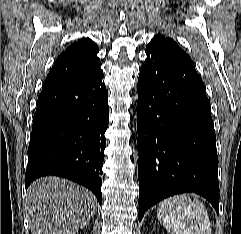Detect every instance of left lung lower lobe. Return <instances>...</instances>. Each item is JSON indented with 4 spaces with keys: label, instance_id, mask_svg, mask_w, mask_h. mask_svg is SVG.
Here are the masks:
<instances>
[{
    "label": "left lung lower lobe",
    "instance_id": "1",
    "mask_svg": "<svg viewBox=\"0 0 241 234\" xmlns=\"http://www.w3.org/2000/svg\"><path fill=\"white\" fill-rule=\"evenodd\" d=\"M138 78L139 220L162 199L205 197L218 213L216 136L209 100L194 65L146 49Z\"/></svg>",
    "mask_w": 241,
    "mask_h": 234
}]
</instances>
